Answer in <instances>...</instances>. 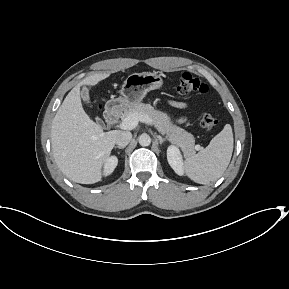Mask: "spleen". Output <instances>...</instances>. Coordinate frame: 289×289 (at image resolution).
<instances>
[{
	"label": "spleen",
	"instance_id": "3e777b00",
	"mask_svg": "<svg viewBox=\"0 0 289 289\" xmlns=\"http://www.w3.org/2000/svg\"><path fill=\"white\" fill-rule=\"evenodd\" d=\"M233 143L231 125L226 124L206 148L186 158V175L199 184H209L219 179L230 163Z\"/></svg>",
	"mask_w": 289,
	"mask_h": 289
}]
</instances>
